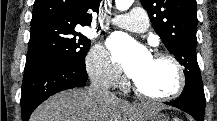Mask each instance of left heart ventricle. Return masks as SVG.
<instances>
[{
    "mask_svg": "<svg viewBox=\"0 0 217 121\" xmlns=\"http://www.w3.org/2000/svg\"><path fill=\"white\" fill-rule=\"evenodd\" d=\"M134 80L149 93L163 94L172 89L176 79L169 62L151 57Z\"/></svg>",
    "mask_w": 217,
    "mask_h": 121,
    "instance_id": "left-heart-ventricle-1",
    "label": "left heart ventricle"
}]
</instances>
